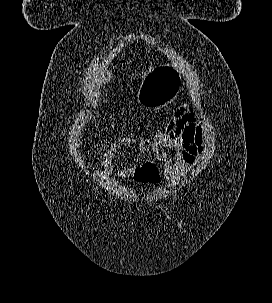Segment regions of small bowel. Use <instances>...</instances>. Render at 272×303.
I'll use <instances>...</instances> for the list:
<instances>
[{"label":"small bowel","mask_w":272,"mask_h":303,"mask_svg":"<svg viewBox=\"0 0 272 303\" xmlns=\"http://www.w3.org/2000/svg\"><path fill=\"white\" fill-rule=\"evenodd\" d=\"M126 148L136 153H149L153 162L162 166L164 177L176 180L205 152L206 133L197 114L182 106L174 113L167 130L152 140L122 137L113 142L102 159V170L106 174L115 173L124 179L134 177L135 166L117 168L114 165L117 156Z\"/></svg>","instance_id":"small-bowel-1"}]
</instances>
